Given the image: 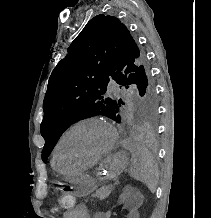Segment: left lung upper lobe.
<instances>
[{
	"label": "left lung upper lobe",
	"mask_w": 211,
	"mask_h": 218,
	"mask_svg": "<svg viewBox=\"0 0 211 218\" xmlns=\"http://www.w3.org/2000/svg\"><path fill=\"white\" fill-rule=\"evenodd\" d=\"M67 51L51 73L43 102L40 131L45 139L42 151L45 163L71 124L95 115L120 122L125 103L105 95L111 80L125 88L136 84L141 96L137 107L139 117L148 129H155L156 94L146 53L119 19L103 14L95 16Z\"/></svg>",
	"instance_id": "obj_1"
}]
</instances>
